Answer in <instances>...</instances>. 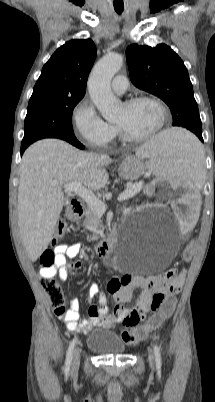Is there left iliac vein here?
I'll return each mask as SVG.
<instances>
[{"instance_id": "4c4485c4", "label": "left iliac vein", "mask_w": 215, "mask_h": 402, "mask_svg": "<svg viewBox=\"0 0 215 402\" xmlns=\"http://www.w3.org/2000/svg\"><path fill=\"white\" fill-rule=\"evenodd\" d=\"M148 361H149L151 368H153L154 367V356L151 351H149Z\"/></svg>"}]
</instances>
